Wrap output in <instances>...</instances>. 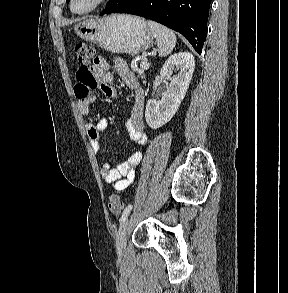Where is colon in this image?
Segmentation results:
<instances>
[{"label":"colon","mask_w":288,"mask_h":293,"mask_svg":"<svg viewBox=\"0 0 288 293\" xmlns=\"http://www.w3.org/2000/svg\"><path fill=\"white\" fill-rule=\"evenodd\" d=\"M75 52L79 63L85 68H89L91 63L97 58L94 49L83 42H79L75 45ZM108 207L114 215H120L124 208V202L120 195L112 194L109 197Z\"/></svg>","instance_id":"obj_1"}]
</instances>
